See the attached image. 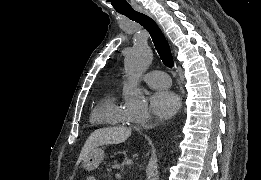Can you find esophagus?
Instances as JSON below:
<instances>
[{
    "label": "esophagus",
    "instance_id": "34e87169",
    "mask_svg": "<svg viewBox=\"0 0 261 180\" xmlns=\"http://www.w3.org/2000/svg\"><path fill=\"white\" fill-rule=\"evenodd\" d=\"M138 10H140V12H143L144 14L146 13L147 15L151 16V14L148 12V10H146L143 7H139Z\"/></svg>",
    "mask_w": 261,
    "mask_h": 180
}]
</instances>
